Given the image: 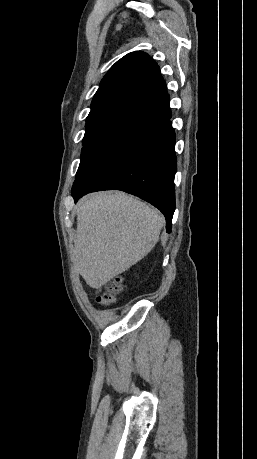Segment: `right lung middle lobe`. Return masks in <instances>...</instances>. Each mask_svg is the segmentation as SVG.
I'll return each mask as SVG.
<instances>
[{
	"label": "right lung middle lobe",
	"instance_id": "right-lung-middle-lobe-1",
	"mask_svg": "<svg viewBox=\"0 0 257 459\" xmlns=\"http://www.w3.org/2000/svg\"><path fill=\"white\" fill-rule=\"evenodd\" d=\"M135 112L127 109H107L89 113L78 172L83 170L109 143L120 126Z\"/></svg>",
	"mask_w": 257,
	"mask_h": 459
}]
</instances>
